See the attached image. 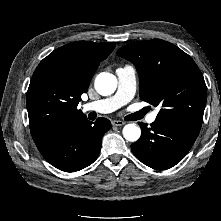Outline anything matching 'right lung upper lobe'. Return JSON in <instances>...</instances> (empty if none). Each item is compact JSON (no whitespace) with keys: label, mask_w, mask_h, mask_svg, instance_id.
Here are the masks:
<instances>
[{"label":"right lung upper lobe","mask_w":221,"mask_h":221,"mask_svg":"<svg viewBox=\"0 0 221 221\" xmlns=\"http://www.w3.org/2000/svg\"><path fill=\"white\" fill-rule=\"evenodd\" d=\"M115 43L76 41L45 57L35 72L27 93L29 126L33 140L67 123L86 119L77 109L99 63Z\"/></svg>","instance_id":"1"}]
</instances>
